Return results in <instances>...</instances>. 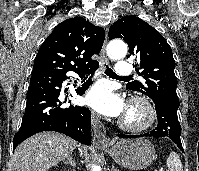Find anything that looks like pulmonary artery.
I'll list each match as a JSON object with an SVG mask.
<instances>
[{
    "label": "pulmonary artery",
    "instance_id": "e3ab8cb5",
    "mask_svg": "<svg viewBox=\"0 0 199 171\" xmlns=\"http://www.w3.org/2000/svg\"><path fill=\"white\" fill-rule=\"evenodd\" d=\"M133 66L127 61H119L116 65L115 72L119 76H129L133 73Z\"/></svg>",
    "mask_w": 199,
    "mask_h": 171
}]
</instances>
